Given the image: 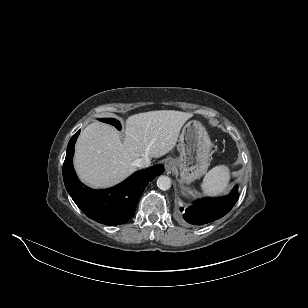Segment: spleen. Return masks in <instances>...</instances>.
<instances>
[{
	"instance_id": "spleen-1",
	"label": "spleen",
	"mask_w": 308,
	"mask_h": 308,
	"mask_svg": "<svg viewBox=\"0 0 308 308\" xmlns=\"http://www.w3.org/2000/svg\"><path fill=\"white\" fill-rule=\"evenodd\" d=\"M229 180V168L225 165H218L205 175L201 189L205 195L214 197L226 191Z\"/></svg>"
}]
</instances>
